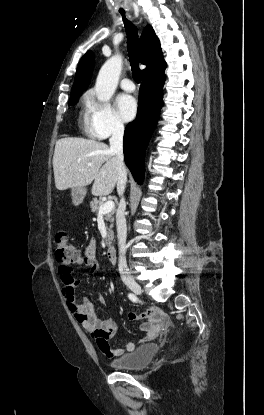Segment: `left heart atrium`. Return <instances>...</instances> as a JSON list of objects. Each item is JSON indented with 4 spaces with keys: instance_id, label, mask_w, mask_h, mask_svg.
Instances as JSON below:
<instances>
[{
    "instance_id": "obj_1",
    "label": "left heart atrium",
    "mask_w": 264,
    "mask_h": 415,
    "mask_svg": "<svg viewBox=\"0 0 264 415\" xmlns=\"http://www.w3.org/2000/svg\"><path fill=\"white\" fill-rule=\"evenodd\" d=\"M116 104L118 113L124 121H130L134 118L137 110V104L132 96L121 94L118 96Z\"/></svg>"
}]
</instances>
